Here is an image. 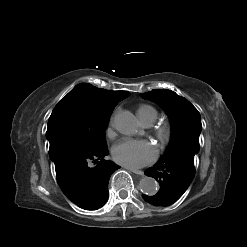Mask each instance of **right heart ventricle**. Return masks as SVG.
<instances>
[{
	"instance_id": "e07e8e85",
	"label": "right heart ventricle",
	"mask_w": 247,
	"mask_h": 247,
	"mask_svg": "<svg viewBox=\"0 0 247 247\" xmlns=\"http://www.w3.org/2000/svg\"><path fill=\"white\" fill-rule=\"evenodd\" d=\"M137 116L142 124L149 126L157 119L158 111L152 105L141 104L137 108Z\"/></svg>"
}]
</instances>
